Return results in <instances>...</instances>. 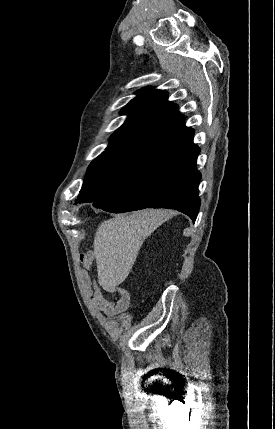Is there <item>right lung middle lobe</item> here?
<instances>
[{"label":"right lung middle lobe","mask_w":275,"mask_h":429,"mask_svg":"<svg viewBox=\"0 0 275 429\" xmlns=\"http://www.w3.org/2000/svg\"><path fill=\"white\" fill-rule=\"evenodd\" d=\"M149 159L122 150L104 151L89 165L78 201L93 202L110 193Z\"/></svg>","instance_id":"dd1d6c3e"}]
</instances>
